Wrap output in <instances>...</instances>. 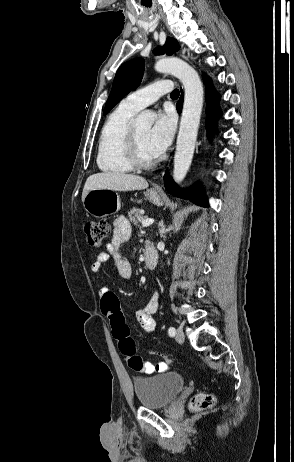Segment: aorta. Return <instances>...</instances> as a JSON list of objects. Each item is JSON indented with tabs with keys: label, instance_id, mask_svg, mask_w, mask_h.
I'll list each match as a JSON object with an SVG mask.
<instances>
[{
	"label": "aorta",
	"instance_id": "1",
	"mask_svg": "<svg viewBox=\"0 0 294 462\" xmlns=\"http://www.w3.org/2000/svg\"><path fill=\"white\" fill-rule=\"evenodd\" d=\"M155 70L161 73L173 74L182 82L185 89L173 170L175 182L181 183L190 168L194 154L203 107V86L198 73L181 59H160L155 64ZM134 123L138 128L152 125V121L146 119L144 114H140Z\"/></svg>",
	"mask_w": 294,
	"mask_h": 462
}]
</instances>
